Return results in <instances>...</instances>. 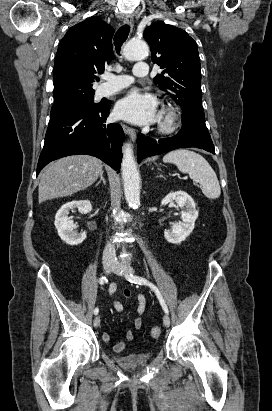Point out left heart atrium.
<instances>
[{"instance_id": "1", "label": "left heart atrium", "mask_w": 272, "mask_h": 411, "mask_svg": "<svg viewBox=\"0 0 272 411\" xmlns=\"http://www.w3.org/2000/svg\"><path fill=\"white\" fill-rule=\"evenodd\" d=\"M118 117L136 124H147L156 118V100L153 96L133 91L116 105Z\"/></svg>"}]
</instances>
